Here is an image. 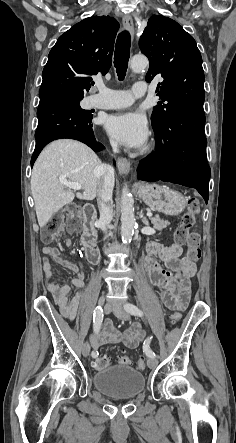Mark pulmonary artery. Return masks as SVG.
I'll return each mask as SVG.
<instances>
[{
    "label": "pulmonary artery",
    "mask_w": 236,
    "mask_h": 443,
    "mask_svg": "<svg viewBox=\"0 0 236 443\" xmlns=\"http://www.w3.org/2000/svg\"><path fill=\"white\" fill-rule=\"evenodd\" d=\"M97 93L87 98L88 108L99 109H118L131 105L138 97L143 96L147 91V85L145 82H136L131 90H113L107 88L103 83H96ZM101 95H111L114 97L112 100H101Z\"/></svg>",
    "instance_id": "e3ab8cb5"
}]
</instances>
